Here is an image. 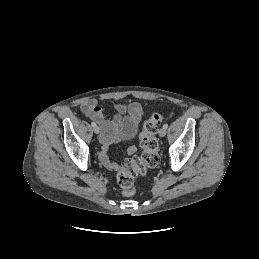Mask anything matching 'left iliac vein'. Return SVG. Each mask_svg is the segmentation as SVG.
<instances>
[{
    "instance_id": "left-iliac-vein-1",
    "label": "left iliac vein",
    "mask_w": 259,
    "mask_h": 259,
    "mask_svg": "<svg viewBox=\"0 0 259 259\" xmlns=\"http://www.w3.org/2000/svg\"><path fill=\"white\" fill-rule=\"evenodd\" d=\"M166 135V129L165 128H161L160 130H159V136L160 137H164Z\"/></svg>"
}]
</instances>
